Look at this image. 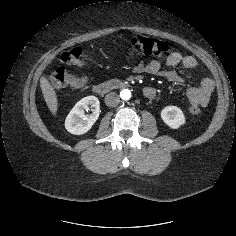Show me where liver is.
<instances>
[{"label":"liver","instance_id":"6515ba94","mask_svg":"<svg viewBox=\"0 0 236 236\" xmlns=\"http://www.w3.org/2000/svg\"><path fill=\"white\" fill-rule=\"evenodd\" d=\"M40 87L49 110L53 115H55L58 110L56 91L45 76L40 78Z\"/></svg>","mask_w":236,"mask_h":236}]
</instances>
